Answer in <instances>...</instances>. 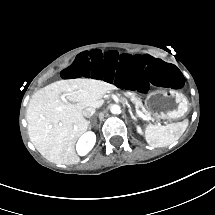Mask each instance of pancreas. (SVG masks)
Wrapping results in <instances>:
<instances>
[{"instance_id": "obj_1", "label": "pancreas", "mask_w": 215, "mask_h": 215, "mask_svg": "<svg viewBox=\"0 0 215 215\" xmlns=\"http://www.w3.org/2000/svg\"><path fill=\"white\" fill-rule=\"evenodd\" d=\"M130 100L133 104H135L136 109L142 110L143 104L141 102V99L139 97H137L135 93H132L130 95ZM143 112H144V114H148V111H143Z\"/></svg>"}]
</instances>
